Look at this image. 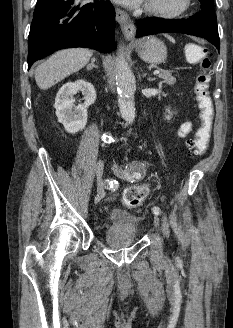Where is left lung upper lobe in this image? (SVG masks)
I'll use <instances>...</instances> for the list:
<instances>
[{"label":"left lung upper lobe","mask_w":233,"mask_h":328,"mask_svg":"<svg viewBox=\"0 0 233 328\" xmlns=\"http://www.w3.org/2000/svg\"><path fill=\"white\" fill-rule=\"evenodd\" d=\"M201 11L208 15H215L213 0H200Z\"/></svg>","instance_id":"1"}]
</instances>
